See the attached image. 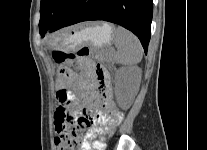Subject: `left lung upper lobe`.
<instances>
[{
    "instance_id": "5c2ea615",
    "label": "left lung upper lobe",
    "mask_w": 207,
    "mask_h": 150,
    "mask_svg": "<svg viewBox=\"0 0 207 150\" xmlns=\"http://www.w3.org/2000/svg\"><path fill=\"white\" fill-rule=\"evenodd\" d=\"M74 2L75 0H41L40 34L49 31Z\"/></svg>"
}]
</instances>
